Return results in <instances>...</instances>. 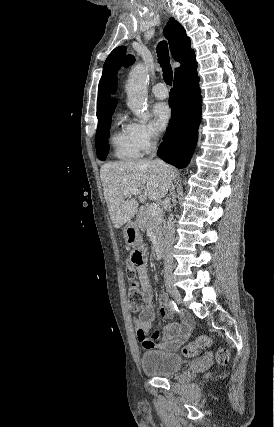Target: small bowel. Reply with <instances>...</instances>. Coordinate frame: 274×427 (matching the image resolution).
I'll return each mask as SVG.
<instances>
[{
    "mask_svg": "<svg viewBox=\"0 0 274 427\" xmlns=\"http://www.w3.org/2000/svg\"><path fill=\"white\" fill-rule=\"evenodd\" d=\"M136 271L144 299L143 307L139 310L138 317L133 321L139 344L145 352L154 350L175 352L191 334L190 319L184 317L181 325L169 323L165 327L157 326L154 328L153 292L145 261L136 267ZM159 315L162 319H167L169 316V306L165 296H161L159 299Z\"/></svg>",
    "mask_w": 274,
    "mask_h": 427,
    "instance_id": "1",
    "label": "small bowel"
}]
</instances>
